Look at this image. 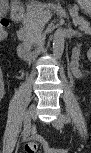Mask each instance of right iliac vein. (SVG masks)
I'll list each match as a JSON object with an SVG mask.
<instances>
[{
	"label": "right iliac vein",
	"instance_id": "right-iliac-vein-1",
	"mask_svg": "<svg viewBox=\"0 0 91 153\" xmlns=\"http://www.w3.org/2000/svg\"><path fill=\"white\" fill-rule=\"evenodd\" d=\"M36 112V105L32 104L28 110L26 111L25 118H24V126L30 128L31 121L35 117Z\"/></svg>",
	"mask_w": 91,
	"mask_h": 153
}]
</instances>
